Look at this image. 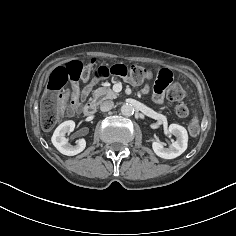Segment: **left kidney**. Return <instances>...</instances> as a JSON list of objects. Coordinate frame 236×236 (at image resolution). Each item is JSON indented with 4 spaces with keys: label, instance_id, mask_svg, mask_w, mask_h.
Instances as JSON below:
<instances>
[{
    "label": "left kidney",
    "instance_id": "5707ae66",
    "mask_svg": "<svg viewBox=\"0 0 236 236\" xmlns=\"http://www.w3.org/2000/svg\"><path fill=\"white\" fill-rule=\"evenodd\" d=\"M168 132L177 138L176 141H173L168 148H165L162 142L151 139L152 148L157 156L164 159H174L187 149L188 134L187 130L178 124H171Z\"/></svg>",
    "mask_w": 236,
    "mask_h": 236
}]
</instances>
